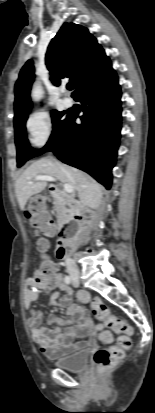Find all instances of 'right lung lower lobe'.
<instances>
[{"label": "right lung lower lobe", "instance_id": "obj_1", "mask_svg": "<svg viewBox=\"0 0 155 413\" xmlns=\"http://www.w3.org/2000/svg\"><path fill=\"white\" fill-rule=\"evenodd\" d=\"M73 98L82 104V123L77 124L76 115L68 114L65 125L44 152L53 151L59 160L89 173L109 189L122 111L115 71L109 68L78 89Z\"/></svg>", "mask_w": 155, "mask_h": 413}]
</instances>
